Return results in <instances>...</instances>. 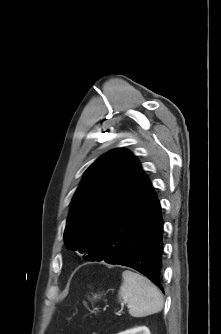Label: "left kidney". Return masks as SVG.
<instances>
[{
	"label": "left kidney",
	"instance_id": "obj_1",
	"mask_svg": "<svg viewBox=\"0 0 221 334\" xmlns=\"http://www.w3.org/2000/svg\"><path fill=\"white\" fill-rule=\"evenodd\" d=\"M118 334H150V330L147 327H137L129 329Z\"/></svg>",
	"mask_w": 221,
	"mask_h": 334
}]
</instances>
